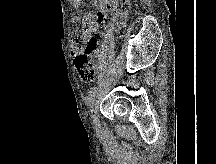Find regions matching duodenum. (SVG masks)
Wrapping results in <instances>:
<instances>
[{"label": "duodenum", "mask_w": 216, "mask_h": 164, "mask_svg": "<svg viewBox=\"0 0 216 164\" xmlns=\"http://www.w3.org/2000/svg\"><path fill=\"white\" fill-rule=\"evenodd\" d=\"M99 4H103L104 0H97Z\"/></svg>", "instance_id": "duodenum-1"}]
</instances>
